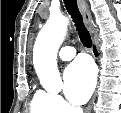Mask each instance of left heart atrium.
I'll use <instances>...</instances> for the list:
<instances>
[{
	"instance_id": "1",
	"label": "left heart atrium",
	"mask_w": 121,
	"mask_h": 113,
	"mask_svg": "<svg viewBox=\"0 0 121 113\" xmlns=\"http://www.w3.org/2000/svg\"><path fill=\"white\" fill-rule=\"evenodd\" d=\"M96 75L92 63L81 58L71 63L64 72V92L75 104H83L92 94Z\"/></svg>"
}]
</instances>
